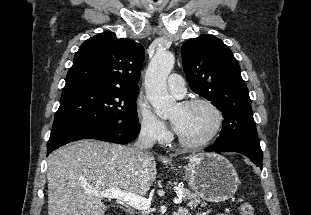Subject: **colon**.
Masks as SVG:
<instances>
[{
	"instance_id": "colon-1",
	"label": "colon",
	"mask_w": 311,
	"mask_h": 215,
	"mask_svg": "<svg viewBox=\"0 0 311 215\" xmlns=\"http://www.w3.org/2000/svg\"><path fill=\"white\" fill-rule=\"evenodd\" d=\"M238 215H254V207L249 201H240L237 204Z\"/></svg>"
}]
</instances>
